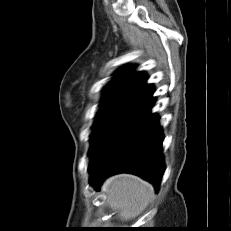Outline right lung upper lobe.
I'll use <instances>...</instances> for the list:
<instances>
[{
    "instance_id": "1",
    "label": "right lung upper lobe",
    "mask_w": 231,
    "mask_h": 231,
    "mask_svg": "<svg viewBox=\"0 0 231 231\" xmlns=\"http://www.w3.org/2000/svg\"><path fill=\"white\" fill-rule=\"evenodd\" d=\"M136 66L121 68L104 88L103 99L130 98L153 106L154 89L147 84V77L141 71H134Z\"/></svg>"
}]
</instances>
